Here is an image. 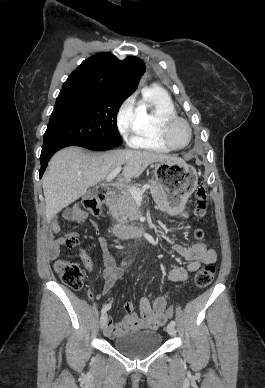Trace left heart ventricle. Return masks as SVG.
I'll list each match as a JSON object with an SVG mask.
<instances>
[{"instance_id":"obj_1","label":"left heart ventricle","mask_w":265,"mask_h":388,"mask_svg":"<svg viewBox=\"0 0 265 388\" xmlns=\"http://www.w3.org/2000/svg\"><path fill=\"white\" fill-rule=\"evenodd\" d=\"M187 137V131L182 124L176 122L171 125L170 138L175 145H184L187 141Z\"/></svg>"}]
</instances>
